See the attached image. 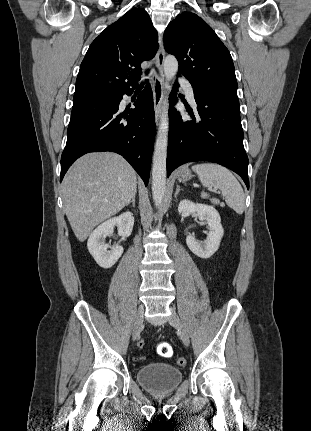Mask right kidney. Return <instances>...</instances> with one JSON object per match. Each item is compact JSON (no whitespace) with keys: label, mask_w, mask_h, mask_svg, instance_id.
Segmentation results:
<instances>
[{"label":"right kidney","mask_w":311,"mask_h":431,"mask_svg":"<svg viewBox=\"0 0 311 431\" xmlns=\"http://www.w3.org/2000/svg\"><path fill=\"white\" fill-rule=\"evenodd\" d=\"M114 225H118L119 235L128 237L134 225L133 214H131V212H124L121 216L110 217V219H107L104 223H100V225L90 233L87 247L100 267H112L124 251L122 245H118V243L115 247H111L110 251H107L108 243H104V239L106 235L113 233Z\"/></svg>","instance_id":"obj_1"}]
</instances>
